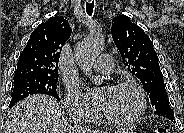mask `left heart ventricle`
<instances>
[{
    "instance_id": "b2bd125f",
    "label": "left heart ventricle",
    "mask_w": 184,
    "mask_h": 133,
    "mask_svg": "<svg viewBox=\"0 0 184 133\" xmlns=\"http://www.w3.org/2000/svg\"><path fill=\"white\" fill-rule=\"evenodd\" d=\"M138 107V100L135 93L128 88H111L103 113L115 119L129 117Z\"/></svg>"
}]
</instances>
